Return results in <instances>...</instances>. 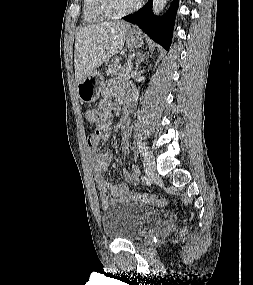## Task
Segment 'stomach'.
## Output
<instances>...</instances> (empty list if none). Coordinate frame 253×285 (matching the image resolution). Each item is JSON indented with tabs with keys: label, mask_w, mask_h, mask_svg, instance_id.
<instances>
[{
	"label": "stomach",
	"mask_w": 253,
	"mask_h": 285,
	"mask_svg": "<svg viewBox=\"0 0 253 285\" xmlns=\"http://www.w3.org/2000/svg\"><path fill=\"white\" fill-rule=\"evenodd\" d=\"M126 47L129 49L139 48L143 45V38L139 31L131 29L126 33ZM104 78L98 71H93L82 82L77 84V95L82 102H95L100 95Z\"/></svg>",
	"instance_id": "1"
}]
</instances>
